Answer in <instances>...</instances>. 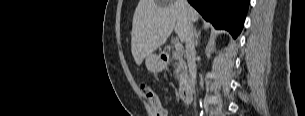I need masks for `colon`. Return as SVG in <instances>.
I'll return each mask as SVG.
<instances>
[{"label":"colon","mask_w":305,"mask_h":116,"mask_svg":"<svg viewBox=\"0 0 305 116\" xmlns=\"http://www.w3.org/2000/svg\"><path fill=\"white\" fill-rule=\"evenodd\" d=\"M140 89L153 113V116H170L168 110L162 104L159 96L150 87L145 84H141Z\"/></svg>","instance_id":"colon-1"}]
</instances>
